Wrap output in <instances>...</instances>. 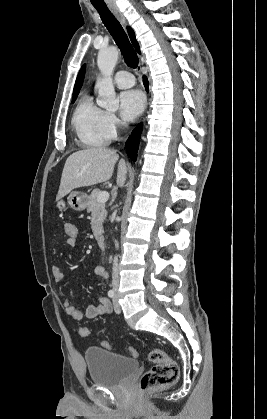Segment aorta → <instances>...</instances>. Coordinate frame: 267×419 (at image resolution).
Returning <instances> with one entry per match:
<instances>
[{
  "mask_svg": "<svg viewBox=\"0 0 267 419\" xmlns=\"http://www.w3.org/2000/svg\"><path fill=\"white\" fill-rule=\"evenodd\" d=\"M118 50L116 47L101 49L98 53L97 65L103 75L96 83L99 93L98 105L107 110H117L119 100L113 85L112 74L118 60Z\"/></svg>",
  "mask_w": 267,
  "mask_h": 419,
  "instance_id": "obj_1",
  "label": "aorta"
}]
</instances>
